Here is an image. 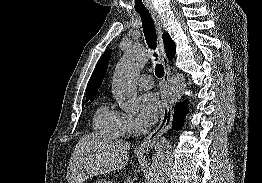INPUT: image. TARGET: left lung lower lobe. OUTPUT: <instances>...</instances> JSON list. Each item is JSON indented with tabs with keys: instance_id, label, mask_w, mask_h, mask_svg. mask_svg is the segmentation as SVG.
I'll return each instance as SVG.
<instances>
[{
	"instance_id": "obj_1",
	"label": "left lung lower lobe",
	"mask_w": 262,
	"mask_h": 183,
	"mask_svg": "<svg viewBox=\"0 0 262 183\" xmlns=\"http://www.w3.org/2000/svg\"><path fill=\"white\" fill-rule=\"evenodd\" d=\"M188 112L187 101L176 104L173 116V127L178 130L183 126L184 117Z\"/></svg>"
}]
</instances>
